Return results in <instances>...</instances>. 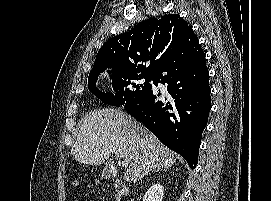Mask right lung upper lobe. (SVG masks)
<instances>
[{
    "label": "right lung upper lobe",
    "instance_id": "1",
    "mask_svg": "<svg viewBox=\"0 0 271 201\" xmlns=\"http://www.w3.org/2000/svg\"><path fill=\"white\" fill-rule=\"evenodd\" d=\"M192 28L177 14L150 18L109 39L98 51L89 77L111 67L112 74L154 75L178 50Z\"/></svg>",
    "mask_w": 271,
    "mask_h": 201
}]
</instances>
